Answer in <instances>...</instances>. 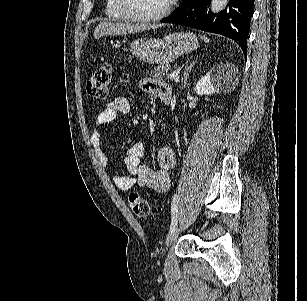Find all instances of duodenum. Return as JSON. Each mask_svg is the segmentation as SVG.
<instances>
[{
    "mask_svg": "<svg viewBox=\"0 0 307 301\" xmlns=\"http://www.w3.org/2000/svg\"><path fill=\"white\" fill-rule=\"evenodd\" d=\"M161 100L164 104L168 105L171 101V92H168L161 96Z\"/></svg>",
    "mask_w": 307,
    "mask_h": 301,
    "instance_id": "duodenum-1",
    "label": "duodenum"
}]
</instances>
